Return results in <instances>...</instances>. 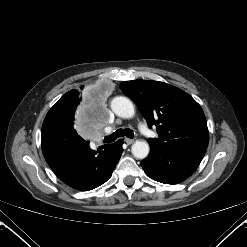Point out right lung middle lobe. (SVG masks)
Wrapping results in <instances>:
<instances>
[{"instance_id": "dd1d6c3e", "label": "right lung middle lobe", "mask_w": 247, "mask_h": 247, "mask_svg": "<svg viewBox=\"0 0 247 247\" xmlns=\"http://www.w3.org/2000/svg\"><path fill=\"white\" fill-rule=\"evenodd\" d=\"M76 108L77 99L57 101L49 110L45 119L58 120L73 126L75 122Z\"/></svg>"}]
</instances>
